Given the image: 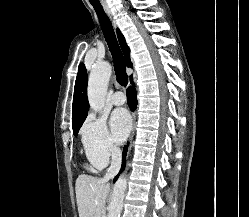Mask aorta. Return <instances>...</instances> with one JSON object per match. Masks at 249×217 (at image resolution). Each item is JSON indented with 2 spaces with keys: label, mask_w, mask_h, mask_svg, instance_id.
<instances>
[{
  "label": "aorta",
  "mask_w": 249,
  "mask_h": 217,
  "mask_svg": "<svg viewBox=\"0 0 249 217\" xmlns=\"http://www.w3.org/2000/svg\"><path fill=\"white\" fill-rule=\"evenodd\" d=\"M111 76V66L108 63L96 65L89 76L87 95L90 108L100 112L104 106L107 85ZM127 189V180L122 175L116 181L109 205L108 217H120L123 209V200Z\"/></svg>",
  "instance_id": "762f6f07"
}]
</instances>
